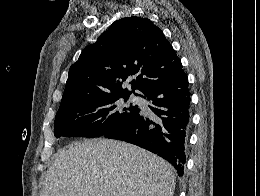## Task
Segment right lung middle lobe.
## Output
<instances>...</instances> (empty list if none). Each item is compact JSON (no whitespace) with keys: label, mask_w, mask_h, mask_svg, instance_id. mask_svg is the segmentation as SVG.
<instances>
[{"label":"right lung middle lobe","mask_w":260,"mask_h":196,"mask_svg":"<svg viewBox=\"0 0 260 196\" xmlns=\"http://www.w3.org/2000/svg\"><path fill=\"white\" fill-rule=\"evenodd\" d=\"M129 94L103 93L90 96L58 110L54 135L65 137H99L140 117L136 106H126Z\"/></svg>","instance_id":"dd1d6c3e"}]
</instances>
